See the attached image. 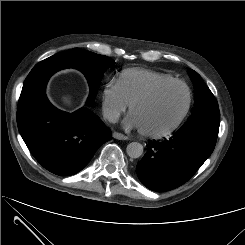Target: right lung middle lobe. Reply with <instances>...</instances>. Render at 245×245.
I'll use <instances>...</instances> for the list:
<instances>
[{
    "mask_svg": "<svg viewBox=\"0 0 245 245\" xmlns=\"http://www.w3.org/2000/svg\"><path fill=\"white\" fill-rule=\"evenodd\" d=\"M49 58L51 64L58 69L72 67L84 73L90 87L87 104L94 102L104 72L114 64V61L107 56L79 48L55 54ZM44 94L45 91L43 94L37 93L31 85L24 83L18 102V110L28 107L33 101Z\"/></svg>",
    "mask_w": 245,
    "mask_h": 245,
    "instance_id": "right-lung-middle-lobe-1",
    "label": "right lung middle lobe"
}]
</instances>
